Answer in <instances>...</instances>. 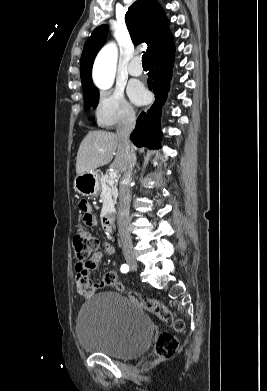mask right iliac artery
I'll return each mask as SVG.
<instances>
[{
    "label": "right iliac artery",
    "instance_id": "82829eb1",
    "mask_svg": "<svg viewBox=\"0 0 267 391\" xmlns=\"http://www.w3.org/2000/svg\"><path fill=\"white\" fill-rule=\"evenodd\" d=\"M128 271H129V266L126 265V264H123V265L121 266V272L127 273Z\"/></svg>",
    "mask_w": 267,
    "mask_h": 391
}]
</instances>
